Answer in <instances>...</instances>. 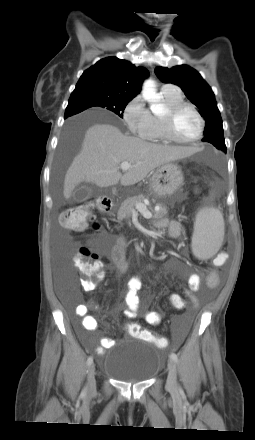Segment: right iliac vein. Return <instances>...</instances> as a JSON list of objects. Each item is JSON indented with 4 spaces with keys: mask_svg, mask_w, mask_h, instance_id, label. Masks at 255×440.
<instances>
[{
    "mask_svg": "<svg viewBox=\"0 0 255 440\" xmlns=\"http://www.w3.org/2000/svg\"><path fill=\"white\" fill-rule=\"evenodd\" d=\"M87 381H88V389L90 392L94 391L96 387V379H95V365L91 364L88 368V375H87Z\"/></svg>",
    "mask_w": 255,
    "mask_h": 440,
    "instance_id": "63e3f726",
    "label": "right iliac vein"
}]
</instances>
